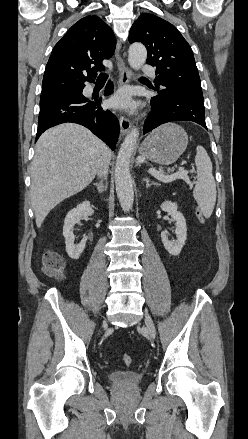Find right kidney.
I'll return each instance as SVG.
<instances>
[{
  "label": "right kidney",
  "instance_id": "ca27d5eb",
  "mask_svg": "<svg viewBox=\"0 0 248 439\" xmlns=\"http://www.w3.org/2000/svg\"><path fill=\"white\" fill-rule=\"evenodd\" d=\"M94 214L93 206L89 201H84L76 208L68 212L64 220L63 236L65 238L66 252L71 259H79L81 253L85 249L87 237H83L81 242L74 244V225L82 219V217L92 216Z\"/></svg>",
  "mask_w": 248,
  "mask_h": 439
}]
</instances>
